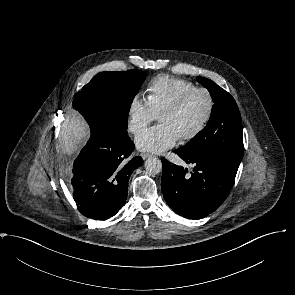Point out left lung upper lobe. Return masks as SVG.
I'll return each mask as SVG.
<instances>
[{
  "label": "left lung upper lobe",
  "mask_w": 295,
  "mask_h": 295,
  "mask_svg": "<svg viewBox=\"0 0 295 295\" xmlns=\"http://www.w3.org/2000/svg\"><path fill=\"white\" fill-rule=\"evenodd\" d=\"M210 92L214 101L206 127L178 150L187 156L212 154L236 165L243 157L242 120L234 98L213 81L197 77Z\"/></svg>",
  "instance_id": "5c2ea615"
}]
</instances>
